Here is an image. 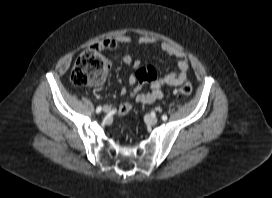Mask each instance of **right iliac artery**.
<instances>
[{
	"mask_svg": "<svg viewBox=\"0 0 272 198\" xmlns=\"http://www.w3.org/2000/svg\"><path fill=\"white\" fill-rule=\"evenodd\" d=\"M101 110H102V107H101V106H98V107L96 108V113H100Z\"/></svg>",
	"mask_w": 272,
	"mask_h": 198,
	"instance_id": "82829eb1",
	"label": "right iliac artery"
}]
</instances>
